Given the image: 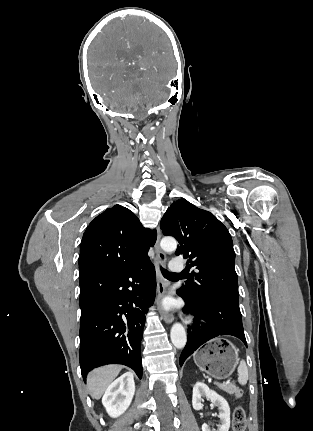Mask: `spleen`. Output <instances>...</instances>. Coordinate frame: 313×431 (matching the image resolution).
<instances>
[{"label":"spleen","instance_id":"obj_1","mask_svg":"<svg viewBox=\"0 0 313 431\" xmlns=\"http://www.w3.org/2000/svg\"><path fill=\"white\" fill-rule=\"evenodd\" d=\"M237 371H238V382L241 385H245L248 380V368L244 360L240 361Z\"/></svg>","mask_w":313,"mask_h":431}]
</instances>
